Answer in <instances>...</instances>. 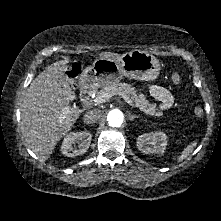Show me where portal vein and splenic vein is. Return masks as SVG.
Segmentation results:
<instances>
[{"mask_svg": "<svg viewBox=\"0 0 221 221\" xmlns=\"http://www.w3.org/2000/svg\"><path fill=\"white\" fill-rule=\"evenodd\" d=\"M131 107L135 108V105L133 104V102L131 101V99L124 93H120L119 94ZM110 98L109 95L107 94H103V95H100L98 97H96V99L94 100L95 103L99 104V103H104L106 101H108ZM69 112V109L68 108H64L63 109V114H67ZM65 117L62 116L60 117V120H63Z\"/></svg>", "mask_w": 221, "mask_h": 221, "instance_id": "1", "label": "portal vein and splenic vein"}]
</instances>
